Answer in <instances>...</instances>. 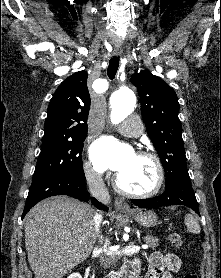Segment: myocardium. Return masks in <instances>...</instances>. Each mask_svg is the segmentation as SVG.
I'll use <instances>...</instances> for the list:
<instances>
[{
  "label": "myocardium",
  "instance_id": "myocardium-1",
  "mask_svg": "<svg viewBox=\"0 0 221 278\" xmlns=\"http://www.w3.org/2000/svg\"><path fill=\"white\" fill-rule=\"evenodd\" d=\"M137 155L140 156H145L150 158L157 169V180H156V184L154 185V187L148 191L145 192H136V191H132V190H128L125 189L119 182V178L118 175H116L113 179V185L114 188L121 193L124 196L127 197H132V198H149V197H153L155 195H157L165 182V170H164V166L163 163L161 161V159L158 157V155H156L155 153L149 151V150H145V149H140L138 151H136Z\"/></svg>",
  "mask_w": 221,
  "mask_h": 278
}]
</instances>
